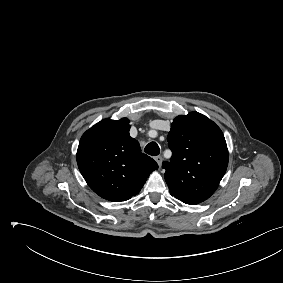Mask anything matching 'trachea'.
<instances>
[{"label": "trachea", "instance_id": "1", "mask_svg": "<svg viewBox=\"0 0 283 283\" xmlns=\"http://www.w3.org/2000/svg\"><path fill=\"white\" fill-rule=\"evenodd\" d=\"M144 151L151 156H157L160 153V148L157 143L151 142L145 147Z\"/></svg>", "mask_w": 283, "mask_h": 283}]
</instances>
